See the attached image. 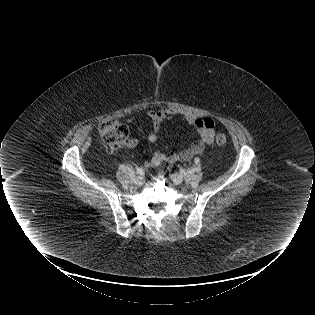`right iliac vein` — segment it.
Listing matches in <instances>:
<instances>
[{"instance_id": "right-iliac-vein-1", "label": "right iliac vein", "mask_w": 315, "mask_h": 315, "mask_svg": "<svg viewBox=\"0 0 315 315\" xmlns=\"http://www.w3.org/2000/svg\"><path fill=\"white\" fill-rule=\"evenodd\" d=\"M135 185L141 186L144 183V178L142 176H138L134 180Z\"/></svg>"}]
</instances>
